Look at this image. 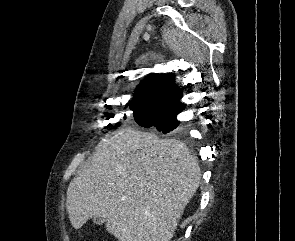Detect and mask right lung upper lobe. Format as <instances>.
I'll return each instance as SVG.
<instances>
[{
    "label": "right lung upper lobe",
    "instance_id": "obj_1",
    "mask_svg": "<svg viewBox=\"0 0 295 241\" xmlns=\"http://www.w3.org/2000/svg\"><path fill=\"white\" fill-rule=\"evenodd\" d=\"M181 97L172 74L151 73L139 84L129 105L169 117L185 107L180 103Z\"/></svg>",
    "mask_w": 295,
    "mask_h": 241
}]
</instances>
